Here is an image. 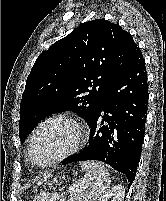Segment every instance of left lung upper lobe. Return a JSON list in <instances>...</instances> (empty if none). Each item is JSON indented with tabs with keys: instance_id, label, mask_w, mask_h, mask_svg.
I'll list each match as a JSON object with an SVG mask.
<instances>
[{
	"instance_id": "5c2ea615",
	"label": "left lung upper lobe",
	"mask_w": 166,
	"mask_h": 201,
	"mask_svg": "<svg viewBox=\"0 0 166 201\" xmlns=\"http://www.w3.org/2000/svg\"><path fill=\"white\" fill-rule=\"evenodd\" d=\"M137 48L118 24L93 20L43 51L22 94L21 142L39 121L55 113L73 111L89 123Z\"/></svg>"
}]
</instances>
